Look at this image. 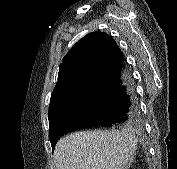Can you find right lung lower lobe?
Returning a JSON list of instances; mask_svg holds the SVG:
<instances>
[{
  "label": "right lung lower lobe",
  "mask_w": 177,
  "mask_h": 169,
  "mask_svg": "<svg viewBox=\"0 0 177 169\" xmlns=\"http://www.w3.org/2000/svg\"><path fill=\"white\" fill-rule=\"evenodd\" d=\"M91 98L77 114L63 119L51 136L55 147L61 136L82 128L112 127L139 118L133 77L122 52L90 80Z\"/></svg>",
  "instance_id": "obj_1"
}]
</instances>
